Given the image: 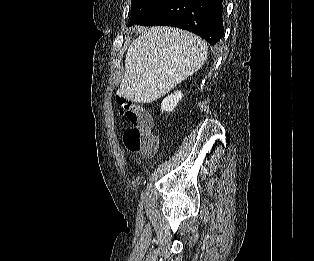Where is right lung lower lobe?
I'll list each match as a JSON object with an SVG mask.
<instances>
[{
    "label": "right lung lower lobe",
    "instance_id": "obj_1",
    "mask_svg": "<svg viewBox=\"0 0 314 261\" xmlns=\"http://www.w3.org/2000/svg\"><path fill=\"white\" fill-rule=\"evenodd\" d=\"M223 0H169L138 25L188 30L215 45L224 34Z\"/></svg>",
    "mask_w": 314,
    "mask_h": 261
}]
</instances>
